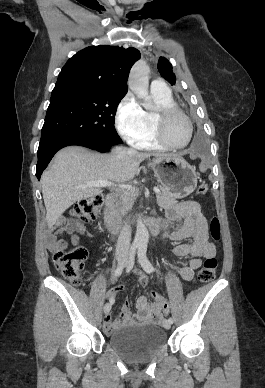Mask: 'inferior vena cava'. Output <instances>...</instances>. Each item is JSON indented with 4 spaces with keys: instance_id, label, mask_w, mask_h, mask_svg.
Here are the masks:
<instances>
[{
    "instance_id": "602c4592",
    "label": "inferior vena cava",
    "mask_w": 265,
    "mask_h": 388,
    "mask_svg": "<svg viewBox=\"0 0 265 388\" xmlns=\"http://www.w3.org/2000/svg\"><path fill=\"white\" fill-rule=\"evenodd\" d=\"M119 158H123L125 152H116ZM131 242V226H129L128 222H125L120 236L117 240L116 246V258H128L129 248Z\"/></svg>"
}]
</instances>
